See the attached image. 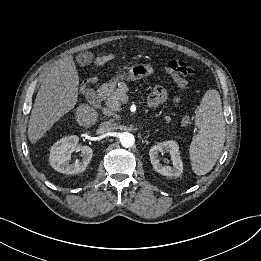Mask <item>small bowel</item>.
I'll return each instance as SVG.
<instances>
[{"label":"small bowel","instance_id":"c3829d8e","mask_svg":"<svg viewBox=\"0 0 261 261\" xmlns=\"http://www.w3.org/2000/svg\"><path fill=\"white\" fill-rule=\"evenodd\" d=\"M96 63H100V60H97ZM174 80L180 88H185L187 86L186 80H183V81H180V80H177V79H174ZM166 99H167V93H166L165 89L160 87V86H156L149 96L148 105H149L150 108H155L158 105H160L161 103H163ZM173 102H174V104L178 105L179 102H180V97L175 96L173 98ZM183 123L184 124L189 123V117L188 116H184Z\"/></svg>","mask_w":261,"mask_h":261}]
</instances>
